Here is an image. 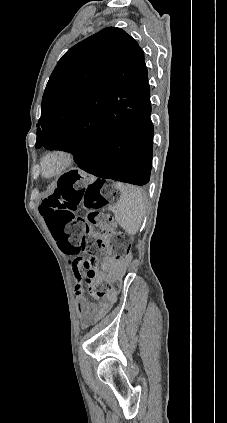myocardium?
Listing matches in <instances>:
<instances>
[{
    "mask_svg": "<svg viewBox=\"0 0 227 423\" xmlns=\"http://www.w3.org/2000/svg\"><path fill=\"white\" fill-rule=\"evenodd\" d=\"M57 159L58 167L52 173H47L46 165L49 160ZM76 164V155L73 151L64 147H55L47 150L40 160V167L42 176L47 179L59 177L70 171Z\"/></svg>",
    "mask_w": 227,
    "mask_h": 423,
    "instance_id": "myocardium-1",
    "label": "myocardium"
}]
</instances>
